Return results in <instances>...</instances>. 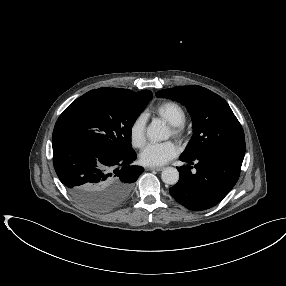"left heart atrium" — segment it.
<instances>
[{"instance_id":"1","label":"left heart atrium","mask_w":286,"mask_h":286,"mask_svg":"<svg viewBox=\"0 0 286 286\" xmlns=\"http://www.w3.org/2000/svg\"><path fill=\"white\" fill-rule=\"evenodd\" d=\"M179 153V147L172 141L150 143L140 153V162L146 166H161Z\"/></svg>"}]
</instances>
